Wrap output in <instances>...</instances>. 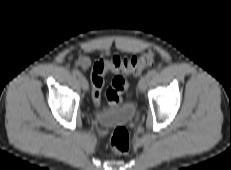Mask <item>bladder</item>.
Here are the masks:
<instances>
[{
	"instance_id": "1",
	"label": "bladder",
	"mask_w": 231,
	"mask_h": 170,
	"mask_svg": "<svg viewBox=\"0 0 231 170\" xmlns=\"http://www.w3.org/2000/svg\"><path fill=\"white\" fill-rule=\"evenodd\" d=\"M135 114L136 106L133 103H126L118 108L99 111L94 117L101 126L109 128L129 124L134 119Z\"/></svg>"
}]
</instances>
